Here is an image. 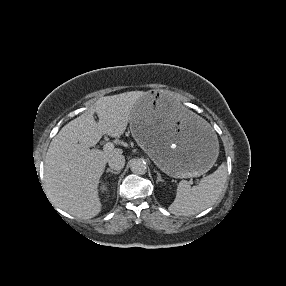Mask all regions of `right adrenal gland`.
<instances>
[{
	"instance_id": "right-adrenal-gland-1",
	"label": "right adrenal gland",
	"mask_w": 286,
	"mask_h": 286,
	"mask_svg": "<svg viewBox=\"0 0 286 286\" xmlns=\"http://www.w3.org/2000/svg\"><path fill=\"white\" fill-rule=\"evenodd\" d=\"M106 173H112V174L117 175V174L120 173V171H114V170H111V169H107V170H106Z\"/></svg>"
}]
</instances>
